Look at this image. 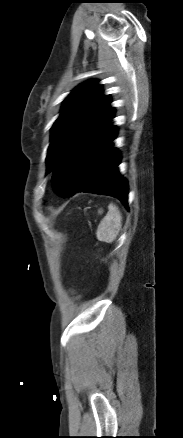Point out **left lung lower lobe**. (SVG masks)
Masks as SVG:
<instances>
[{
    "label": "left lung lower lobe",
    "mask_w": 183,
    "mask_h": 438,
    "mask_svg": "<svg viewBox=\"0 0 183 438\" xmlns=\"http://www.w3.org/2000/svg\"><path fill=\"white\" fill-rule=\"evenodd\" d=\"M111 119L74 146L55 167L52 186L58 195L69 197L78 191L110 195L127 207L128 186L118 171L121 156L112 145L117 132Z\"/></svg>",
    "instance_id": "left-lung-lower-lobe-1"
}]
</instances>
